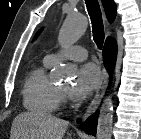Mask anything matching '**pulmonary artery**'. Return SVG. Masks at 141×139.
<instances>
[{
  "label": "pulmonary artery",
  "mask_w": 141,
  "mask_h": 139,
  "mask_svg": "<svg viewBox=\"0 0 141 139\" xmlns=\"http://www.w3.org/2000/svg\"><path fill=\"white\" fill-rule=\"evenodd\" d=\"M87 50L82 46L74 45L62 49L58 52L48 54L45 59L50 63H55L61 59H70L75 61H83L87 58Z\"/></svg>",
  "instance_id": "e3ab8cb5"
}]
</instances>
